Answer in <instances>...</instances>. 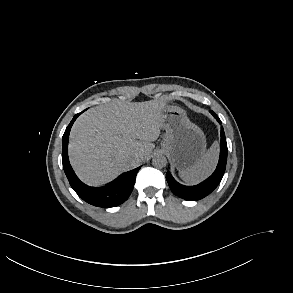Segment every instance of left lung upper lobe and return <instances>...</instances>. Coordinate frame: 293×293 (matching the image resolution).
<instances>
[{"label":"left lung upper lobe","mask_w":293,"mask_h":293,"mask_svg":"<svg viewBox=\"0 0 293 293\" xmlns=\"http://www.w3.org/2000/svg\"><path fill=\"white\" fill-rule=\"evenodd\" d=\"M212 113V115H215V113L213 111H210Z\"/></svg>","instance_id":"left-lung-upper-lobe-1"}]
</instances>
